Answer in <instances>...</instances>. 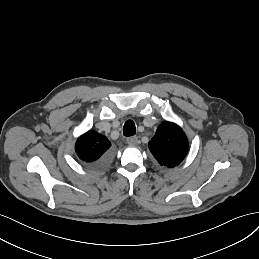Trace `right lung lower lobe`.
Instances as JSON below:
<instances>
[{"mask_svg":"<svg viewBox=\"0 0 259 259\" xmlns=\"http://www.w3.org/2000/svg\"><path fill=\"white\" fill-rule=\"evenodd\" d=\"M108 162H109V156L105 155L102 158H100L99 160L92 162V163H88V164L95 168H101V167L106 166L108 164Z\"/></svg>","mask_w":259,"mask_h":259,"instance_id":"98d812e1","label":"right lung lower lobe"}]
</instances>
